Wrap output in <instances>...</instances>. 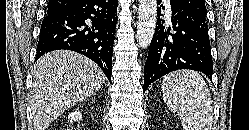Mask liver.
<instances>
[{"mask_svg":"<svg viewBox=\"0 0 249 130\" xmlns=\"http://www.w3.org/2000/svg\"><path fill=\"white\" fill-rule=\"evenodd\" d=\"M33 76L30 98L35 130H46L67 109L95 94L106 80L92 60L67 50L43 55Z\"/></svg>","mask_w":249,"mask_h":130,"instance_id":"obj_1","label":"liver"}]
</instances>
